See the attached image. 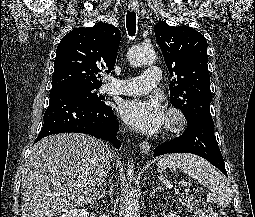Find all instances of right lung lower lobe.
<instances>
[{
	"label": "right lung lower lobe",
	"mask_w": 255,
	"mask_h": 217,
	"mask_svg": "<svg viewBox=\"0 0 255 217\" xmlns=\"http://www.w3.org/2000/svg\"><path fill=\"white\" fill-rule=\"evenodd\" d=\"M118 130L119 124L110 106H96L74 97L55 96L49 100L44 124L35 142L56 133L77 132L107 140L119 148L121 143L116 139Z\"/></svg>",
	"instance_id": "98d812e1"
}]
</instances>
